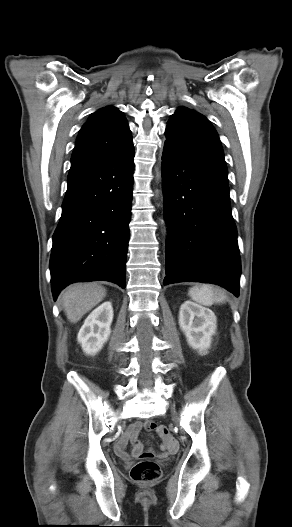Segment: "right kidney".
I'll return each instance as SVG.
<instances>
[{
    "instance_id": "ca27d5eb",
    "label": "right kidney",
    "mask_w": 292,
    "mask_h": 527,
    "mask_svg": "<svg viewBox=\"0 0 292 527\" xmlns=\"http://www.w3.org/2000/svg\"><path fill=\"white\" fill-rule=\"evenodd\" d=\"M113 308L110 302L97 307L85 320L78 333V342L88 355H95L108 340L111 333Z\"/></svg>"
}]
</instances>
